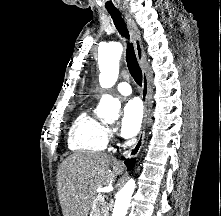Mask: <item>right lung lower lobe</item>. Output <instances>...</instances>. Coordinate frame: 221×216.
<instances>
[{"label":"right lung lower lobe","instance_id":"98d812e1","mask_svg":"<svg viewBox=\"0 0 221 216\" xmlns=\"http://www.w3.org/2000/svg\"><path fill=\"white\" fill-rule=\"evenodd\" d=\"M125 164L127 165V168L131 170L135 164V159H126Z\"/></svg>","mask_w":221,"mask_h":216}]
</instances>
